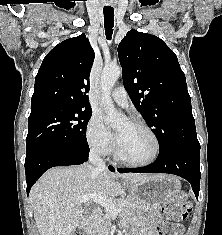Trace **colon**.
<instances>
[{
	"label": "colon",
	"instance_id": "colon-1",
	"mask_svg": "<svg viewBox=\"0 0 222 235\" xmlns=\"http://www.w3.org/2000/svg\"><path fill=\"white\" fill-rule=\"evenodd\" d=\"M191 210V205L184 194H177L172 200L167 202L163 207L165 216L164 228L162 235H178L180 231L176 220L184 219ZM73 235H81L74 233Z\"/></svg>",
	"mask_w": 222,
	"mask_h": 235
}]
</instances>
